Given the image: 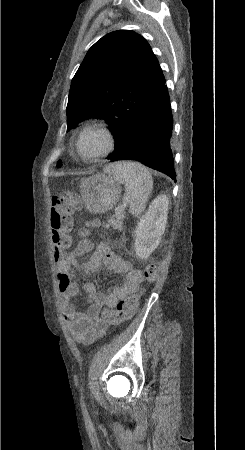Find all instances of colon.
I'll return each mask as SVG.
<instances>
[{"mask_svg": "<svg viewBox=\"0 0 245 450\" xmlns=\"http://www.w3.org/2000/svg\"><path fill=\"white\" fill-rule=\"evenodd\" d=\"M52 210L49 216V233L53 245L55 262L61 261L68 253L72 240V215L82 207V199L76 191H66L63 195L52 198ZM97 226V221L87 222L78 232L80 237H89ZM147 282L154 281L158 276V265L150 263L143 270ZM145 294L141 288L130 296L118 301L114 308L106 307L101 319L110 325H119L132 318L139 306L140 299Z\"/></svg>", "mask_w": 245, "mask_h": 450, "instance_id": "obj_1", "label": "colon"}]
</instances>
